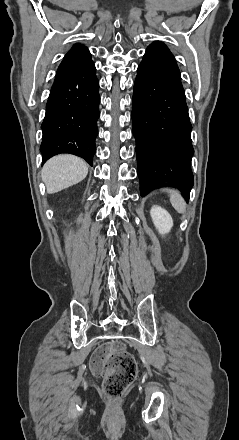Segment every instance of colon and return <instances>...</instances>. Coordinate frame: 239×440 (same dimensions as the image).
Here are the masks:
<instances>
[{"label":"colon","instance_id":"obj_1","mask_svg":"<svg viewBox=\"0 0 239 440\" xmlns=\"http://www.w3.org/2000/svg\"><path fill=\"white\" fill-rule=\"evenodd\" d=\"M91 368L103 379V388L110 399L120 397L133 382L137 363L134 356L120 343L99 347L93 354Z\"/></svg>","mask_w":239,"mask_h":440}]
</instances>
